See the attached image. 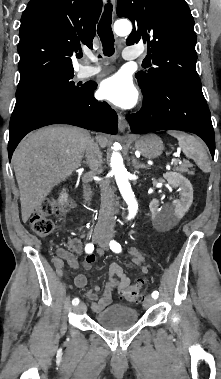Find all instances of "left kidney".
Masks as SVG:
<instances>
[{"mask_svg":"<svg viewBox=\"0 0 221 379\" xmlns=\"http://www.w3.org/2000/svg\"><path fill=\"white\" fill-rule=\"evenodd\" d=\"M167 182L180 190V199L172 205L159 208L157 200H152L149 208L155 225L161 228H171L185 215L193 202V188L187 178L177 172L163 174Z\"/></svg>","mask_w":221,"mask_h":379,"instance_id":"5707ae66","label":"left kidney"}]
</instances>
